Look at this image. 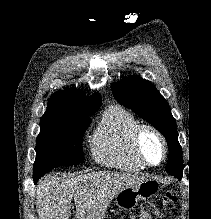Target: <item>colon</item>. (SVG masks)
<instances>
[{"label":"colon","instance_id":"1","mask_svg":"<svg viewBox=\"0 0 211 219\" xmlns=\"http://www.w3.org/2000/svg\"><path fill=\"white\" fill-rule=\"evenodd\" d=\"M176 194L168 192L155 196L149 201L142 203L131 214L123 216L121 219H159L164 217L174 206Z\"/></svg>","mask_w":211,"mask_h":219}]
</instances>
